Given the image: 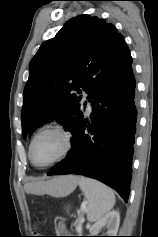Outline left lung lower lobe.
Returning a JSON list of instances; mask_svg holds the SVG:
<instances>
[{"instance_id": "0a47b994", "label": "left lung lower lobe", "mask_w": 158, "mask_h": 237, "mask_svg": "<svg viewBox=\"0 0 158 237\" xmlns=\"http://www.w3.org/2000/svg\"><path fill=\"white\" fill-rule=\"evenodd\" d=\"M135 86L129 65L94 95L92 123L83 117L72 134V149L48 175L91 177L115 189L128 201L137 122Z\"/></svg>"}]
</instances>
